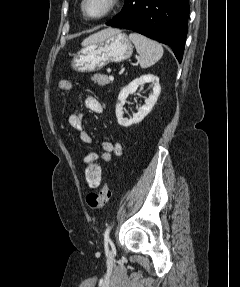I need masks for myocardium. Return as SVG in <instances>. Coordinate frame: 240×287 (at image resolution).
I'll return each mask as SVG.
<instances>
[{
	"instance_id": "obj_1",
	"label": "myocardium",
	"mask_w": 240,
	"mask_h": 287,
	"mask_svg": "<svg viewBox=\"0 0 240 287\" xmlns=\"http://www.w3.org/2000/svg\"><path fill=\"white\" fill-rule=\"evenodd\" d=\"M86 2H87V0H82V2H81V10H82L83 15L90 20L99 21V20H102V19L108 17L110 14L113 13V11L116 9V7L118 5L119 0H108L106 9L101 14H99L97 16H90L87 13Z\"/></svg>"
}]
</instances>
